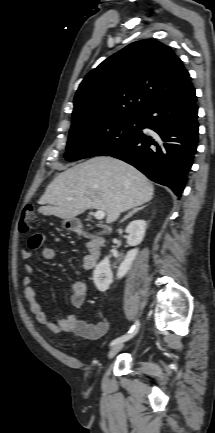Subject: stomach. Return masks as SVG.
Listing matches in <instances>:
<instances>
[{
  "instance_id": "stomach-1",
  "label": "stomach",
  "mask_w": 215,
  "mask_h": 433,
  "mask_svg": "<svg viewBox=\"0 0 215 433\" xmlns=\"http://www.w3.org/2000/svg\"><path fill=\"white\" fill-rule=\"evenodd\" d=\"M63 225L66 226L67 228H70V229L73 227V224L70 220H65L63 222Z\"/></svg>"
}]
</instances>
